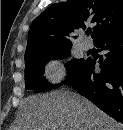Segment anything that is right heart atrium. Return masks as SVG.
<instances>
[{
  "label": "right heart atrium",
  "mask_w": 123,
  "mask_h": 130,
  "mask_svg": "<svg viewBox=\"0 0 123 130\" xmlns=\"http://www.w3.org/2000/svg\"><path fill=\"white\" fill-rule=\"evenodd\" d=\"M46 76L52 83H58L65 77V68L59 60H52L46 65Z\"/></svg>",
  "instance_id": "right-heart-atrium-1"
}]
</instances>
